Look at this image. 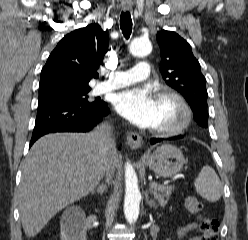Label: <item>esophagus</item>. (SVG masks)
<instances>
[{
  "instance_id": "esophagus-1",
  "label": "esophagus",
  "mask_w": 248,
  "mask_h": 240,
  "mask_svg": "<svg viewBox=\"0 0 248 240\" xmlns=\"http://www.w3.org/2000/svg\"><path fill=\"white\" fill-rule=\"evenodd\" d=\"M130 9H131V5L129 3L123 5V10H130ZM126 140L129 147L134 150L140 148L142 145V137L135 132H127Z\"/></svg>"
}]
</instances>
